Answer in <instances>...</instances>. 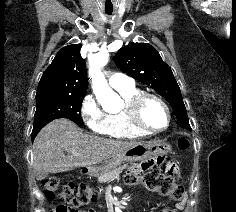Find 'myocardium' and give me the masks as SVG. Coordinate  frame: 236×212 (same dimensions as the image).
Instances as JSON below:
<instances>
[{"mask_svg":"<svg viewBox=\"0 0 236 212\" xmlns=\"http://www.w3.org/2000/svg\"><path fill=\"white\" fill-rule=\"evenodd\" d=\"M148 100H155L165 109L168 121L167 125L160 129H154L148 126L143 120V108ZM129 119L132 125L138 130L147 134H158L166 131L172 123V113L167 102L157 94L151 92H139L133 96L126 105Z\"/></svg>","mask_w":236,"mask_h":212,"instance_id":"obj_1","label":"myocardium"}]
</instances>
